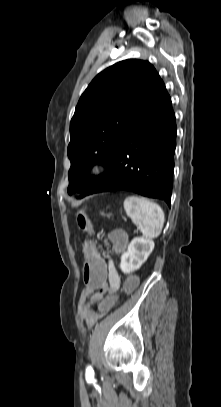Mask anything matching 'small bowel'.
Segmentation results:
<instances>
[{
	"label": "small bowel",
	"instance_id": "small-bowel-1",
	"mask_svg": "<svg viewBox=\"0 0 221 407\" xmlns=\"http://www.w3.org/2000/svg\"><path fill=\"white\" fill-rule=\"evenodd\" d=\"M109 268L108 285L102 286L101 292H86L85 288L78 306V314L81 322L87 327L93 326L97 320L106 313L99 311V302L107 292H117V287L121 285V278L112 261H106ZM97 305L96 308L94 306Z\"/></svg>",
	"mask_w": 221,
	"mask_h": 407
}]
</instances>
